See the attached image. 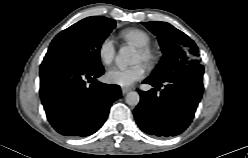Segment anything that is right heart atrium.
<instances>
[{
	"label": "right heart atrium",
	"instance_id": "1",
	"mask_svg": "<svg viewBox=\"0 0 248 158\" xmlns=\"http://www.w3.org/2000/svg\"><path fill=\"white\" fill-rule=\"evenodd\" d=\"M98 56L104 65H110L116 56V49L111 38H104L98 46Z\"/></svg>",
	"mask_w": 248,
	"mask_h": 158
}]
</instances>
